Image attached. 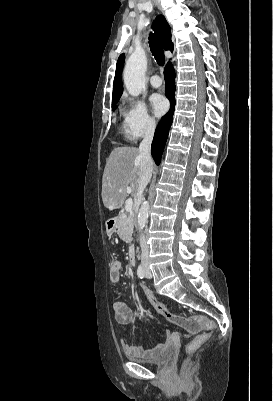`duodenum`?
I'll use <instances>...</instances> for the list:
<instances>
[{
	"label": "duodenum",
	"mask_w": 273,
	"mask_h": 401,
	"mask_svg": "<svg viewBox=\"0 0 273 401\" xmlns=\"http://www.w3.org/2000/svg\"><path fill=\"white\" fill-rule=\"evenodd\" d=\"M116 217H112L111 219H109V221L107 222V229L109 232H112L115 224H116ZM128 260L129 263L131 265H135L136 262V251H135V247L133 245H131L128 249Z\"/></svg>",
	"instance_id": "410a0bca"
}]
</instances>
